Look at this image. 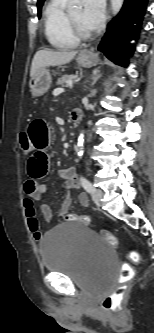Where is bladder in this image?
<instances>
[{
  "instance_id": "31cf9c89",
  "label": "bladder",
  "mask_w": 154,
  "mask_h": 333,
  "mask_svg": "<svg viewBox=\"0 0 154 333\" xmlns=\"http://www.w3.org/2000/svg\"><path fill=\"white\" fill-rule=\"evenodd\" d=\"M45 270L68 276L83 287L96 284L107 290L116 270L113 247L81 222H66L51 228L39 243Z\"/></svg>"
}]
</instances>
